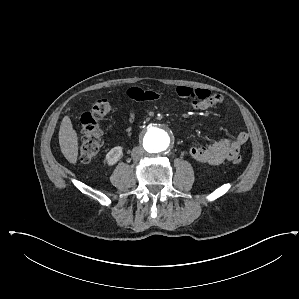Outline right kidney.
<instances>
[{
  "mask_svg": "<svg viewBox=\"0 0 299 299\" xmlns=\"http://www.w3.org/2000/svg\"><path fill=\"white\" fill-rule=\"evenodd\" d=\"M122 154V147L116 146L106 154L105 160L108 165L112 166L117 163V161L121 158Z\"/></svg>",
  "mask_w": 299,
  "mask_h": 299,
  "instance_id": "1",
  "label": "right kidney"
}]
</instances>
